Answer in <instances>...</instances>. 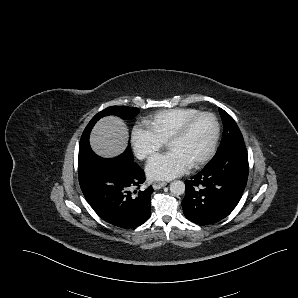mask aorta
Returning a JSON list of instances; mask_svg holds the SVG:
<instances>
[{
	"instance_id": "obj_1",
	"label": "aorta",
	"mask_w": 298,
	"mask_h": 298,
	"mask_svg": "<svg viewBox=\"0 0 298 298\" xmlns=\"http://www.w3.org/2000/svg\"><path fill=\"white\" fill-rule=\"evenodd\" d=\"M170 192L174 195H182L185 193L186 186L181 180H174L169 185Z\"/></svg>"
}]
</instances>
